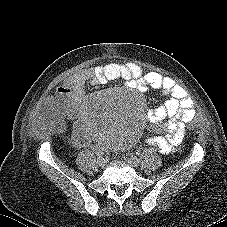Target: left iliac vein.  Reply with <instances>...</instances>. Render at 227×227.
Listing matches in <instances>:
<instances>
[{"label": "left iliac vein", "instance_id": "4c4485c4", "mask_svg": "<svg viewBox=\"0 0 227 227\" xmlns=\"http://www.w3.org/2000/svg\"><path fill=\"white\" fill-rule=\"evenodd\" d=\"M127 161L129 164H131L132 166H139L140 164V159L137 157V156H134V155H130L128 158H127Z\"/></svg>", "mask_w": 227, "mask_h": 227}]
</instances>
